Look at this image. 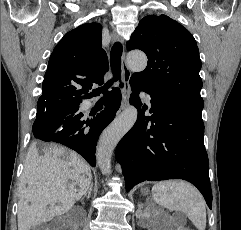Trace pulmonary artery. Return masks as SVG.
<instances>
[{"label":"pulmonary artery","mask_w":241,"mask_h":230,"mask_svg":"<svg viewBox=\"0 0 241 230\" xmlns=\"http://www.w3.org/2000/svg\"><path fill=\"white\" fill-rule=\"evenodd\" d=\"M85 106H86V107H89V106H90V103H89V102H87Z\"/></svg>","instance_id":"e3ab8cb5"}]
</instances>
